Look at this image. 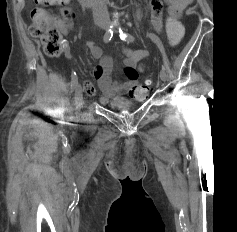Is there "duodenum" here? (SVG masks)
Masks as SVG:
<instances>
[{
  "label": "duodenum",
  "instance_id": "obj_1",
  "mask_svg": "<svg viewBox=\"0 0 237 232\" xmlns=\"http://www.w3.org/2000/svg\"><path fill=\"white\" fill-rule=\"evenodd\" d=\"M81 6L83 7H89L91 6L92 0H78Z\"/></svg>",
  "mask_w": 237,
  "mask_h": 232
}]
</instances>
